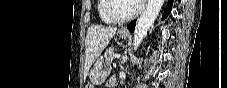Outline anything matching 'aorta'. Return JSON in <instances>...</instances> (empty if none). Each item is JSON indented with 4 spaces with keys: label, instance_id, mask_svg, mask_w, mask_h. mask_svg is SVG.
I'll return each mask as SVG.
<instances>
[{
    "label": "aorta",
    "instance_id": "aorta-1",
    "mask_svg": "<svg viewBox=\"0 0 227 88\" xmlns=\"http://www.w3.org/2000/svg\"><path fill=\"white\" fill-rule=\"evenodd\" d=\"M163 3L164 0H148L146 9L138 19L135 28L133 38L134 50H136L139 47L143 38L146 36L148 30L150 29L155 19L157 18Z\"/></svg>",
    "mask_w": 227,
    "mask_h": 88
}]
</instances>
